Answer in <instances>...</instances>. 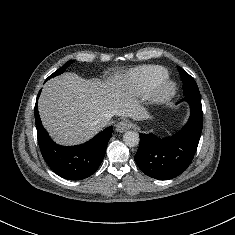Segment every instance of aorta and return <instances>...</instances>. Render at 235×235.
I'll list each match as a JSON object with an SVG mask.
<instances>
[{
    "label": "aorta",
    "mask_w": 235,
    "mask_h": 235,
    "mask_svg": "<svg viewBox=\"0 0 235 235\" xmlns=\"http://www.w3.org/2000/svg\"><path fill=\"white\" fill-rule=\"evenodd\" d=\"M124 143L129 147H135L139 144V134L135 131H127L123 135Z\"/></svg>",
    "instance_id": "762f6f07"
}]
</instances>
